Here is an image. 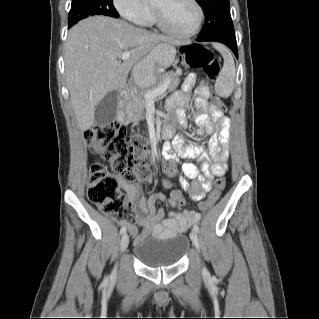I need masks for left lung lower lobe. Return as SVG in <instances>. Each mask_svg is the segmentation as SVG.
Wrapping results in <instances>:
<instances>
[{
  "label": "left lung lower lobe",
  "mask_w": 319,
  "mask_h": 319,
  "mask_svg": "<svg viewBox=\"0 0 319 319\" xmlns=\"http://www.w3.org/2000/svg\"><path fill=\"white\" fill-rule=\"evenodd\" d=\"M217 42L227 45L234 52L235 56L238 58L236 40L227 39V40H218Z\"/></svg>",
  "instance_id": "left-lung-lower-lobe-1"
}]
</instances>
